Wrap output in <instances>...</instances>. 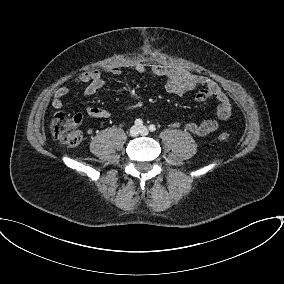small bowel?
<instances>
[{
  "label": "small bowel",
  "instance_id": "small-bowel-1",
  "mask_svg": "<svg viewBox=\"0 0 284 284\" xmlns=\"http://www.w3.org/2000/svg\"><path fill=\"white\" fill-rule=\"evenodd\" d=\"M131 68L140 74L150 71L156 76L164 77L166 79V91L173 95L182 96L192 90L198 89L195 95L196 101L205 102L211 98L217 101L216 116L219 120L224 121L231 116L232 106L229 97L215 81L207 76L193 74L181 68H169L160 64H154L149 67L142 62H135L131 65ZM106 73L119 75L122 73V70L120 68H110ZM76 82L86 84L84 93L86 96H92L103 87L104 72L99 69L83 72L79 74ZM69 93L70 88L67 86L58 88L53 96V107L61 109L63 107V98ZM86 112L89 116L96 118H106L110 115L107 110L96 106L87 107ZM171 126L179 128L181 124L175 121L171 123ZM218 128V121L213 119L205 120L201 123L189 122L184 125L185 130L200 137L213 133Z\"/></svg>",
  "mask_w": 284,
  "mask_h": 284
}]
</instances>
